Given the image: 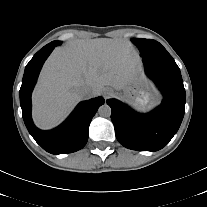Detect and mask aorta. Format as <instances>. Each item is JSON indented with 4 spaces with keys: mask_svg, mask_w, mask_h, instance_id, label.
Instances as JSON below:
<instances>
[{
    "mask_svg": "<svg viewBox=\"0 0 207 207\" xmlns=\"http://www.w3.org/2000/svg\"><path fill=\"white\" fill-rule=\"evenodd\" d=\"M98 113L102 117H109L111 115V108L109 105H101L98 109Z\"/></svg>",
    "mask_w": 207,
    "mask_h": 207,
    "instance_id": "1",
    "label": "aorta"
}]
</instances>
